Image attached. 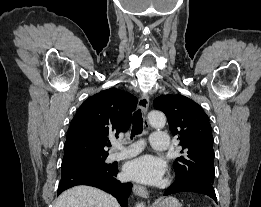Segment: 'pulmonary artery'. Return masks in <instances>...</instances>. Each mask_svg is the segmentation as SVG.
Listing matches in <instances>:
<instances>
[{"mask_svg": "<svg viewBox=\"0 0 261 207\" xmlns=\"http://www.w3.org/2000/svg\"><path fill=\"white\" fill-rule=\"evenodd\" d=\"M151 146L155 150H166L167 149V134L162 131H156L152 133L151 135ZM119 147V146H117ZM142 149V143L141 142H136L132 144L129 148L127 149H122L120 152L113 153L109 156V160L115 161V160H121L124 158L132 157L136 154H138Z\"/></svg>", "mask_w": 261, "mask_h": 207, "instance_id": "pulmonary-artery-1", "label": "pulmonary artery"}]
</instances>
